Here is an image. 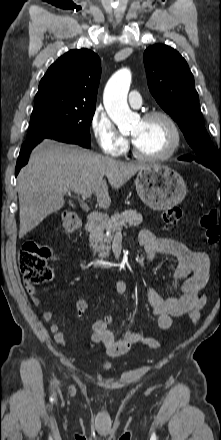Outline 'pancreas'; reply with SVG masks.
I'll return each instance as SVG.
<instances>
[{
    "mask_svg": "<svg viewBox=\"0 0 221 440\" xmlns=\"http://www.w3.org/2000/svg\"><path fill=\"white\" fill-rule=\"evenodd\" d=\"M142 221V215L136 210L129 209L121 213H115L108 221L104 222L91 233V246L94 249L101 251L104 256H108L110 251L109 244L113 239V234L127 225L130 227H137ZM105 230L109 233L108 235L104 234Z\"/></svg>",
    "mask_w": 221,
    "mask_h": 440,
    "instance_id": "1",
    "label": "pancreas"
}]
</instances>
